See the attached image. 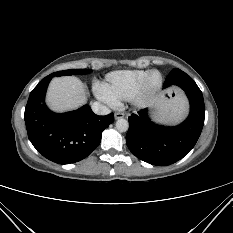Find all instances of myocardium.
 <instances>
[{
    "instance_id": "obj_1",
    "label": "myocardium",
    "mask_w": 233,
    "mask_h": 233,
    "mask_svg": "<svg viewBox=\"0 0 233 233\" xmlns=\"http://www.w3.org/2000/svg\"><path fill=\"white\" fill-rule=\"evenodd\" d=\"M153 74H158L159 81L156 85L150 86L149 80ZM163 77L162 74L157 70H150L145 77L142 79L140 85L138 86L136 92L134 93L131 101L136 106H144L150 102L155 95L159 92L162 87Z\"/></svg>"
}]
</instances>
